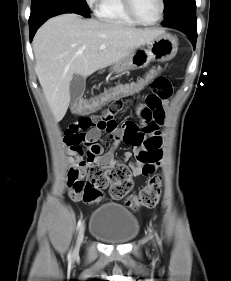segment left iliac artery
<instances>
[{"instance_id": "44dca946", "label": "left iliac artery", "mask_w": 231, "mask_h": 281, "mask_svg": "<svg viewBox=\"0 0 231 281\" xmlns=\"http://www.w3.org/2000/svg\"><path fill=\"white\" fill-rule=\"evenodd\" d=\"M155 236H156V238H157L158 243L161 244V242H160V240H159V237H158V235H157L156 233H155Z\"/></svg>"}]
</instances>
